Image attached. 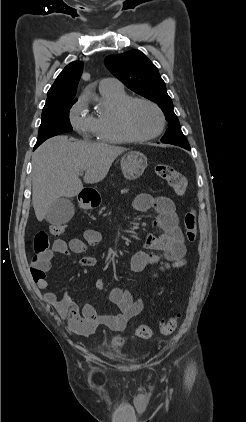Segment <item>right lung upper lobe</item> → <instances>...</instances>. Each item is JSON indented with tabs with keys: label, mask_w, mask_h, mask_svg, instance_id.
I'll return each instance as SVG.
<instances>
[{
	"label": "right lung upper lobe",
	"mask_w": 246,
	"mask_h": 422,
	"mask_svg": "<svg viewBox=\"0 0 246 422\" xmlns=\"http://www.w3.org/2000/svg\"><path fill=\"white\" fill-rule=\"evenodd\" d=\"M82 70L83 62L81 61H74L68 64L49 89L45 106L77 100L74 97Z\"/></svg>",
	"instance_id": "right-lung-upper-lobe-1"
}]
</instances>
